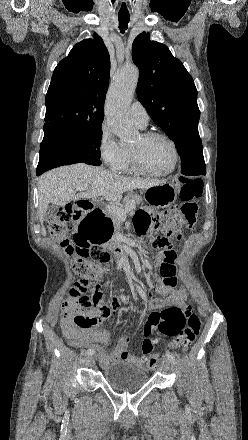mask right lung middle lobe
Instances as JSON below:
<instances>
[{"label": "right lung middle lobe", "instance_id": "1", "mask_svg": "<svg viewBox=\"0 0 248 440\" xmlns=\"http://www.w3.org/2000/svg\"><path fill=\"white\" fill-rule=\"evenodd\" d=\"M101 126L84 131L43 138L36 174L79 162L100 165Z\"/></svg>", "mask_w": 248, "mask_h": 440}]
</instances>
